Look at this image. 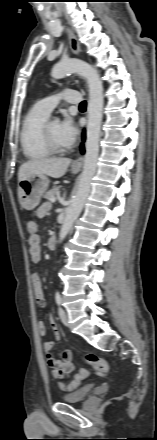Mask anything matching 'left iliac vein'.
Masks as SVG:
<instances>
[{
  "label": "left iliac vein",
  "instance_id": "1",
  "mask_svg": "<svg viewBox=\"0 0 157 440\" xmlns=\"http://www.w3.org/2000/svg\"><path fill=\"white\" fill-rule=\"evenodd\" d=\"M58 314H59V317H60L61 321L63 322V324L68 326L69 325L68 324V315H67L66 311L60 307L58 309Z\"/></svg>",
  "mask_w": 157,
  "mask_h": 440
}]
</instances>
